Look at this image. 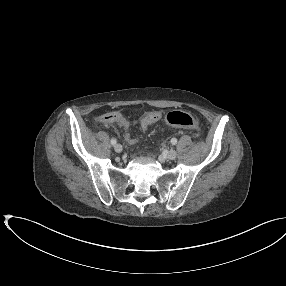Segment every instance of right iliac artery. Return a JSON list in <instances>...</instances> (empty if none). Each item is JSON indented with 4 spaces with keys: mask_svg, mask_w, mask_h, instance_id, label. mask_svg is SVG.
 Instances as JSON below:
<instances>
[{
    "mask_svg": "<svg viewBox=\"0 0 286 286\" xmlns=\"http://www.w3.org/2000/svg\"><path fill=\"white\" fill-rule=\"evenodd\" d=\"M116 143H117L116 139H115V138H112V139H111V144H112V145H115Z\"/></svg>",
    "mask_w": 286,
    "mask_h": 286,
    "instance_id": "obj_1",
    "label": "right iliac artery"
}]
</instances>
